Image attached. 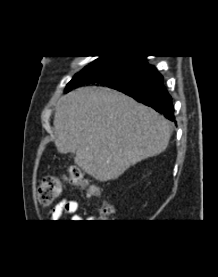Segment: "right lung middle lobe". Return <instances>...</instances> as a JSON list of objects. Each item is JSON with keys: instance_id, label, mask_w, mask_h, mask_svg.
Listing matches in <instances>:
<instances>
[{"instance_id": "right-lung-middle-lobe-1", "label": "right lung middle lobe", "mask_w": 218, "mask_h": 277, "mask_svg": "<svg viewBox=\"0 0 218 277\" xmlns=\"http://www.w3.org/2000/svg\"><path fill=\"white\" fill-rule=\"evenodd\" d=\"M152 67L142 56H100L72 78L67 84L65 92L78 87V82L86 74H97L101 85L117 88L133 83Z\"/></svg>"}]
</instances>
